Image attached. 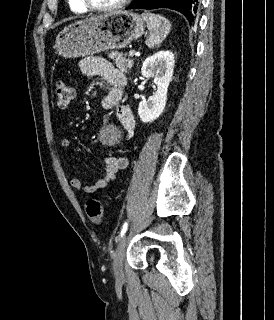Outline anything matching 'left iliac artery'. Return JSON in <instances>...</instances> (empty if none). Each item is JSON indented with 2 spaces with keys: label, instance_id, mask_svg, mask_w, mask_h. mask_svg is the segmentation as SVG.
<instances>
[{
  "label": "left iliac artery",
  "instance_id": "44dca946",
  "mask_svg": "<svg viewBox=\"0 0 274 320\" xmlns=\"http://www.w3.org/2000/svg\"><path fill=\"white\" fill-rule=\"evenodd\" d=\"M127 227H128V223L125 222L122 226L121 232H120V237H123V235L125 234V232L127 231Z\"/></svg>",
  "mask_w": 274,
  "mask_h": 320
}]
</instances>
